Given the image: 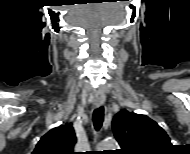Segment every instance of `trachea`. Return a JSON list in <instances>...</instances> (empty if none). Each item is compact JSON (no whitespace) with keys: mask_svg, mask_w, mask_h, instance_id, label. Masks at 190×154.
<instances>
[{"mask_svg":"<svg viewBox=\"0 0 190 154\" xmlns=\"http://www.w3.org/2000/svg\"><path fill=\"white\" fill-rule=\"evenodd\" d=\"M104 119V108L101 106L96 108L93 112V124L96 131H99L102 127Z\"/></svg>","mask_w":190,"mask_h":154,"instance_id":"3493384b","label":"trachea"}]
</instances>
